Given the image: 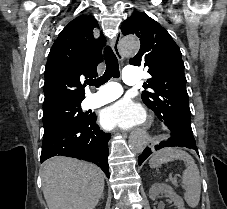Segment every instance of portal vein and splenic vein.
I'll list each match as a JSON object with an SVG mask.
<instances>
[{
	"label": "portal vein and splenic vein",
	"instance_id": "18ae733b",
	"mask_svg": "<svg viewBox=\"0 0 227 209\" xmlns=\"http://www.w3.org/2000/svg\"><path fill=\"white\" fill-rule=\"evenodd\" d=\"M172 183H173L174 186H177L178 185V182L175 181V180Z\"/></svg>",
	"mask_w": 227,
	"mask_h": 209
}]
</instances>
